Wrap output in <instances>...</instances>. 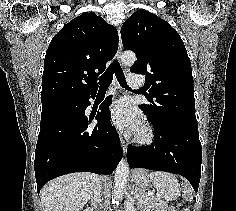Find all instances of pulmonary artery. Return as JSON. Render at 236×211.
Here are the masks:
<instances>
[{"mask_svg": "<svg viewBox=\"0 0 236 211\" xmlns=\"http://www.w3.org/2000/svg\"><path fill=\"white\" fill-rule=\"evenodd\" d=\"M127 82L130 86L139 87L144 82V79L139 77L137 74L129 73L127 74Z\"/></svg>", "mask_w": 236, "mask_h": 211, "instance_id": "1", "label": "pulmonary artery"}]
</instances>
